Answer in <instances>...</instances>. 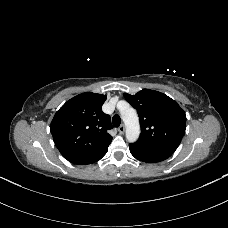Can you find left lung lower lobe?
Here are the masks:
<instances>
[{
  "mask_svg": "<svg viewBox=\"0 0 228 228\" xmlns=\"http://www.w3.org/2000/svg\"><path fill=\"white\" fill-rule=\"evenodd\" d=\"M130 152L136 159L148 163L161 162L173 154L167 150L144 148L134 144H130Z\"/></svg>",
  "mask_w": 228,
  "mask_h": 228,
  "instance_id": "obj_1",
  "label": "left lung lower lobe"
}]
</instances>
